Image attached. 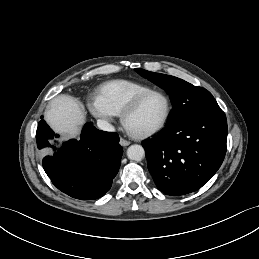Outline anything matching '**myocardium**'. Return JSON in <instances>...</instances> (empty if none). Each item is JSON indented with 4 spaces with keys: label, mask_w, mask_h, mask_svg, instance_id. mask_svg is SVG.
<instances>
[{
    "label": "myocardium",
    "mask_w": 259,
    "mask_h": 259,
    "mask_svg": "<svg viewBox=\"0 0 259 259\" xmlns=\"http://www.w3.org/2000/svg\"><path fill=\"white\" fill-rule=\"evenodd\" d=\"M153 94H160L161 96H163V98L165 99L166 102V111H165V115L162 119V121L153 129L144 132V133H133L130 130H128L126 128L125 122L127 117L132 114L138 107L139 105L150 95ZM172 112V102L171 99L169 97V95L160 89H151L148 90L138 96H136L125 108L124 110L121 112L120 114V121L122 126L125 128V130L134 138L136 139H146L149 138L157 133H159L168 123L170 115Z\"/></svg>",
    "instance_id": "obj_1"
}]
</instances>
